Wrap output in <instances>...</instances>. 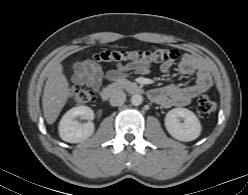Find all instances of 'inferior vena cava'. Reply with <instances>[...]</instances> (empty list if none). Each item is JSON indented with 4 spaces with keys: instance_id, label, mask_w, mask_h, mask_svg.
<instances>
[{
    "instance_id": "602c4592",
    "label": "inferior vena cava",
    "mask_w": 248,
    "mask_h": 195,
    "mask_svg": "<svg viewBox=\"0 0 248 195\" xmlns=\"http://www.w3.org/2000/svg\"><path fill=\"white\" fill-rule=\"evenodd\" d=\"M125 100L126 94L122 90H117L111 95L110 104L112 106H120L125 102Z\"/></svg>"
}]
</instances>
